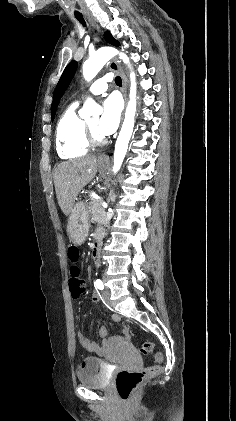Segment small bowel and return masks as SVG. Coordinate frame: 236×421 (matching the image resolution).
Instances as JSON below:
<instances>
[{"mask_svg": "<svg viewBox=\"0 0 236 421\" xmlns=\"http://www.w3.org/2000/svg\"><path fill=\"white\" fill-rule=\"evenodd\" d=\"M93 300H97V296H93ZM100 334H101L102 336H105V335L107 334L106 329L102 328V329H101V331H100Z\"/></svg>", "mask_w": 236, "mask_h": 421, "instance_id": "obj_1", "label": "small bowel"}]
</instances>
